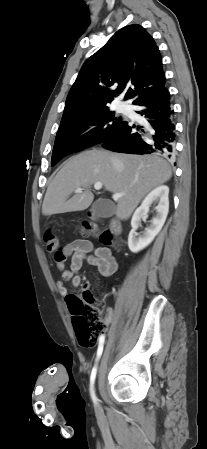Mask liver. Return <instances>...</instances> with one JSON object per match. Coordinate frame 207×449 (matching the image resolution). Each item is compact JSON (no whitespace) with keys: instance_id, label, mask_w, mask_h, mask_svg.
Here are the masks:
<instances>
[{"instance_id":"6515ba94","label":"liver","mask_w":207,"mask_h":449,"mask_svg":"<svg viewBox=\"0 0 207 449\" xmlns=\"http://www.w3.org/2000/svg\"><path fill=\"white\" fill-rule=\"evenodd\" d=\"M172 176L171 166L157 155H131L92 149L69 158L49 185L42 204L45 216L83 211L94 195L90 187L101 182L112 193H123L116 216L127 220L141 200ZM83 192L69 196L77 189Z\"/></svg>"}]
</instances>
